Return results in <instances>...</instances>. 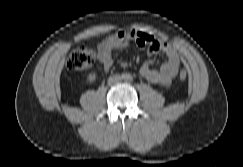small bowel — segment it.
<instances>
[{
    "label": "small bowel",
    "instance_id": "1",
    "mask_svg": "<svg viewBox=\"0 0 243 167\" xmlns=\"http://www.w3.org/2000/svg\"><path fill=\"white\" fill-rule=\"evenodd\" d=\"M132 42L147 49L149 56L162 52L167 60L158 69L151 67V60H147L140 68V74L147 81L162 86H170L180 70V57L176 48L157 39L152 34L136 30H122L115 37H110L98 45V60L103 69L109 71L113 66V51L127 48Z\"/></svg>",
    "mask_w": 243,
    "mask_h": 167
}]
</instances>
